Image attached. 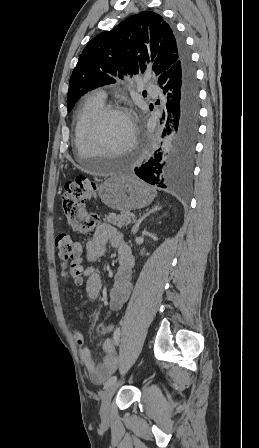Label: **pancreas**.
Here are the masks:
<instances>
[{"mask_svg":"<svg viewBox=\"0 0 259 448\" xmlns=\"http://www.w3.org/2000/svg\"><path fill=\"white\" fill-rule=\"evenodd\" d=\"M135 217L134 214H130V212H120V216L117 214H109L104 218V222H109V224H113V226H117V228H123V226H128L130 224V219Z\"/></svg>","mask_w":259,"mask_h":448,"instance_id":"cf45deb5","label":"pancreas"}]
</instances>
